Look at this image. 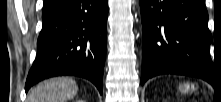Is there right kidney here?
Masks as SVG:
<instances>
[{"instance_id":"right-kidney-1","label":"right kidney","mask_w":221,"mask_h":102,"mask_svg":"<svg viewBox=\"0 0 221 102\" xmlns=\"http://www.w3.org/2000/svg\"><path fill=\"white\" fill-rule=\"evenodd\" d=\"M78 102H83V100H78Z\"/></svg>"}]
</instances>
